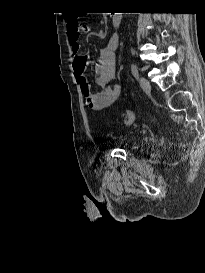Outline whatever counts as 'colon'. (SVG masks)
I'll return each mask as SVG.
<instances>
[{
    "label": "colon",
    "instance_id": "colon-1",
    "mask_svg": "<svg viewBox=\"0 0 205 273\" xmlns=\"http://www.w3.org/2000/svg\"><path fill=\"white\" fill-rule=\"evenodd\" d=\"M76 28H80L82 25L81 24H75L74 25ZM134 119V114L131 110H125L122 114V123L125 125H129L133 122Z\"/></svg>",
    "mask_w": 205,
    "mask_h": 273
}]
</instances>
